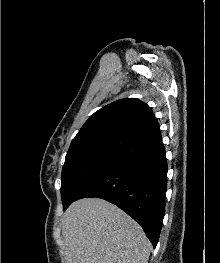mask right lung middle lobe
Listing matches in <instances>:
<instances>
[{
	"instance_id": "1",
	"label": "right lung middle lobe",
	"mask_w": 220,
	"mask_h": 263,
	"mask_svg": "<svg viewBox=\"0 0 220 263\" xmlns=\"http://www.w3.org/2000/svg\"><path fill=\"white\" fill-rule=\"evenodd\" d=\"M121 150L95 148L68 152L61 176V197L63 207L69 205L77 193L107 164L113 161Z\"/></svg>"
}]
</instances>
